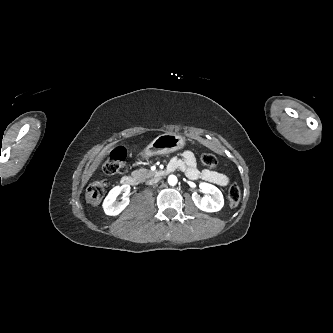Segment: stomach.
Returning <instances> with one entry per match:
<instances>
[{
  "instance_id": "0dacf381",
  "label": "stomach",
  "mask_w": 333,
  "mask_h": 333,
  "mask_svg": "<svg viewBox=\"0 0 333 333\" xmlns=\"http://www.w3.org/2000/svg\"><path fill=\"white\" fill-rule=\"evenodd\" d=\"M185 145L184 138L176 133H165L159 135L144 150L142 156L147 158L154 155H163L182 149Z\"/></svg>"
}]
</instances>
